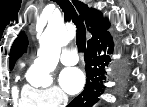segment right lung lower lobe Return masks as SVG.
<instances>
[{"mask_svg": "<svg viewBox=\"0 0 147 107\" xmlns=\"http://www.w3.org/2000/svg\"><path fill=\"white\" fill-rule=\"evenodd\" d=\"M113 41L110 34L95 43H89L85 53V70L87 83L84 91L77 96L68 107H91L103 93V79H105V66L111 61Z\"/></svg>", "mask_w": 147, "mask_h": 107, "instance_id": "1", "label": "right lung lower lobe"}]
</instances>
